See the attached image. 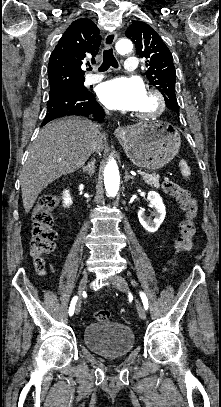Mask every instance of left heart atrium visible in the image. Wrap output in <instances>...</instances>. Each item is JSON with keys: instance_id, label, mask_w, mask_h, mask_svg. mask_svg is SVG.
<instances>
[{"instance_id": "1", "label": "left heart atrium", "mask_w": 221, "mask_h": 407, "mask_svg": "<svg viewBox=\"0 0 221 407\" xmlns=\"http://www.w3.org/2000/svg\"><path fill=\"white\" fill-rule=\"evenodd\" d=\"M100 101L111 109L138 110L146 96L143 82L136 77L121 76L99 87Z\"/></svg>"}]
</instances>
